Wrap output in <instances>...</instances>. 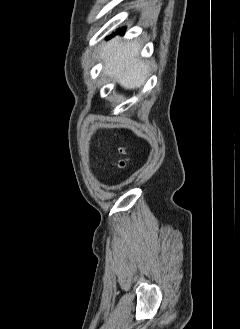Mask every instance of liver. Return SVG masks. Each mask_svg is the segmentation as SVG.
Here are the masks:
<instances>
[{
    "mask_svg": "<svg viewBox=\"0 0 240 329\" xmlns=\"http://www.w3.org/2000/svg\"><path fill=\"white\" fill-rule=\"evenodd\" d=\"M138 41L122 43L120 37L107 42L100 53L105 61L104 73L116 79L125 89L141 87L147 78L149 64L138 59Z\"/></svg>",
    "mask_w": 240,
    "mask_h": 329,
    "instance_id": "1",
    "label": "liver"
}]
</instances>
